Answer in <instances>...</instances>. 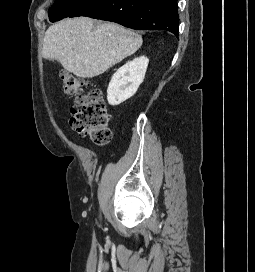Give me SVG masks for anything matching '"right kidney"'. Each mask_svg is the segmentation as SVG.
Here are the masks:
<instances>
[{"mask_svg": "<svg viewBox=\"0 0 255 272\" xmlns=\"http://www.w3.org/2000/svg\"><path fill=\"white\" fill-rule=\"evenodd\" d=\"M149 59L145 56L135 58L120 67L111 78L107 89V100L116 106L132 97L143 82Z\"/></svg>", "mask_w": 255, "mask_h": 272, "instance_id": "1", "label": "right kidney"}]
</instances>
